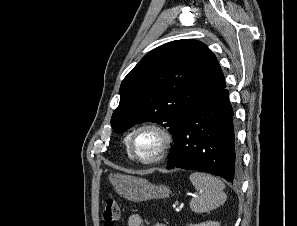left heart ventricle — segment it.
I'll list each match as a JSON object with an SVG mask.
<instances>
[{"instance_id": "1", "label": "left heart ventricle", "mask_w": 297, "mask_h": 226, "mask_svg": "<svg viewBox=\"0 0 297 226\" xmlns=\"http://www.w3.org/2000/svg\"><path fill=\"white\" fill-rule=\"evenodd\" d=\"M159 144V136L153 131L146 130L137 135L134 142V147L138 155L147 158L153 155Z\"/></svg>"}]
</instances>
